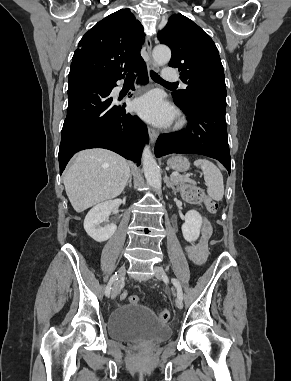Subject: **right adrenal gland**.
<instances>
[{
    "mask_svg": "<svg viewBox=\"0 0 291 381\" xmlns=\"http://www.w3.org/2000/svg\"><path fill=\"white\" fill-rule=\"evenodd\" d=\"M127 185H128L129 187L132 186V174H131V173H130V175H129V180H128V182H127Z\"/></svg>",
    "mask_w": 291,
    "mask_h": 381,
    "instance_id": "2a0ac1e0",
    "label": "right adrenal gland"
}]
</instances>
